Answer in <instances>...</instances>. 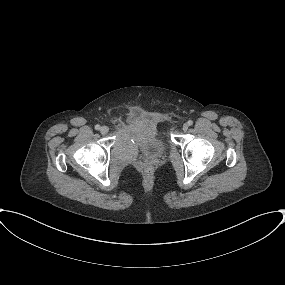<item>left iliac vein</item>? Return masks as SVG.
I'll return each instance as SVG.
<instances>
[{
  "mask_svg": "<svg viewBox=\"0 0 285 285\" xmlns=\"http://www.w3.org/2000/svg\"><path fill=\"white\" fill-rule=\"evenodd\" d=\"M188 127H189L188 124L185 123V124L183 125V127H182L183 131H187V130H188Z\"/></svg>",
  "mask_w": 285,
  "mask_h": 285,
  "instance_id": "4c4485c4",
  "label": "left iliac vein"
}]
</instances>
